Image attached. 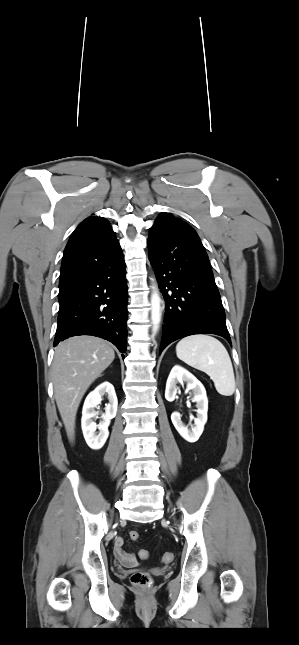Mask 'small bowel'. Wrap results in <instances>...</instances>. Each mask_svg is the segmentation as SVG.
<instances>
[{
	"mask_svg": "<svg viewBox=\"0 0 299 645\" xmlns=\"http://www.w3.org/2000/svg\"><path fill=\"white\" fill-rule=\"evenodd\" d=\"M124 538L117 537L114 543V556L115 558L126 567H133L137 565V557L133 553L124 550Z\"/></svg>",
	"mask_w": 299,
	"mask_h": 645,
	"instance_id": "obj_1",
	"label": "small bowel"
}]
</instances>
